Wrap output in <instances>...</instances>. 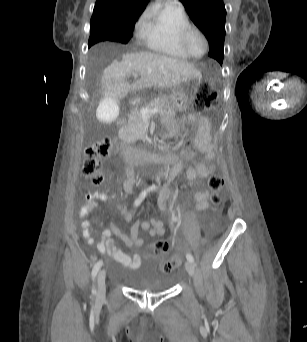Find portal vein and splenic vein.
Listing matches in <instances>:
<instances>
[{"label":"portal vein and splenic vein","instance_id":"obj_1","mask_svg":"<svg viewBox=\"0 0 307 342\" xmlns=\"http://www.w3.org/2000/svg\"><path fill=\"white\" fill-rule=\"evenodd\" d=\"M133 76H137V74H133ZM144 111L141 112V115L145 118L148 119L150 116H153V114H158V112H160V110H157V108H154V110H148V112H145V110L147 109L145 106L142 108Z\"/></svg>","mask_w":307,"mask_h":342}]
</instances>
